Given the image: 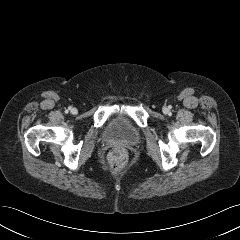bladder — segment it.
I'll list each match as a JSON object with an SVG mask.
<instances>
[{"mask_svg":"<svg viewBox=\"0 0 240 240\" xmlns=\"http://www.w3.org/2000/svg\"><path fill=\"white\" fill-rule=\"evenodd\" d=\"M104 136L110 141H123L134 144L140 139L141 133L130 121L117 117L108 124Z\"/></svg>","mask_w":240,"mask_h":240,"instance_id":"31cf9c89","label":"bladder"}]
</instances>
